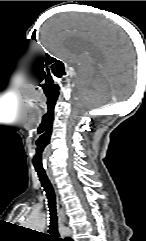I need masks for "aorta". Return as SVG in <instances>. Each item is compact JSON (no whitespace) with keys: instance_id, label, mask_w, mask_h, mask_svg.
<instances>
[{"instance_id":"obj_1","label":"aorta","mask_w":146,"mask_h":241,"mask_svg":"<svg viewBox=\"0 0 146 241\" xmlns=\"http://www.w3.org/2000/svg\"><path fill=\"white\" fill-rule=\"evenodd\" d=\"M24 225L32 230H43L46 225V216L42 213L33 214L24 222Z\"/></svg>"}]
</instances>
